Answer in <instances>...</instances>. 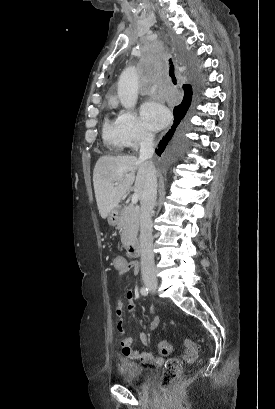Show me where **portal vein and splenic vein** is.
I'll return each instance as SVG.
<instances>
[{
  "mask_svg": "<svg viewBox=\"0 0 275 409\" xmlns=\"http://www.w3.org/2000/svg\"><path fill=\"white\" fill-rule=\"evenodd\" d=\"M115 184H117V182H115ZM131 202H132V205H136V202H138V194H136V192H134V194H132Z\"/></svg>",
  "mask_w": 275,
  "mask_h": 409,
  "instance_id": "portal-vein-and-splenic-vein-1",
  "label": "portal vein and splenic vein"
}]
</instances>
